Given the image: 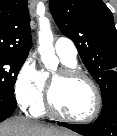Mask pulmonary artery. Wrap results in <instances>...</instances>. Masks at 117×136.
<instances>
[{
	"instance_id": "pulmonary-artery-1",
	"label": "pulmonary artery",
	"mask_w": 117,
	"mask_h": 136,
	"mask_svg": "<svg viewBox=\"0 0 117 136\" xmlns=\"http://www.w3.org/2000/svg\"><path fill=\"white\" fill-rule=\"evenodd\" d=\"M54 47L61 59L76 62L77 48L72 40L66 37H60L56 40Z\"/></svg>"
}]
</instances>
